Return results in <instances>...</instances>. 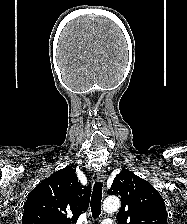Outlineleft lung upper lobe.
Listing matches in <instances>:
<instances>
[{
    "instance_id": "1",
    "label": "left lung upper lobe",
    "mask_w": 187,
    "mask_h": 224,
    "mask_svg": "<svg viewBox=\"0 0 187 224\" xmlns=\"http://www.w3.org/2000/svg\"><path fill=\"white\" fill-rule=\"evenodd\" d=\"M108 194L121 199L118 224H167L163 198L150 183L133 172L122 169Z\"/></svg>"
}]
</instances>
